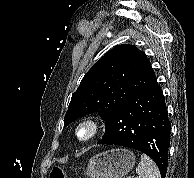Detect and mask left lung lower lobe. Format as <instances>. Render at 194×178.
Segmentation results:
<instances>
[{
  "instance_id": "left-lung-lower-lobe-1",
  "label": "left lung lower lobe",
  "mask_w": 194,
  "mask_h": 178,
  "mask_svg": "<svg viewBox=\"0 0 194 178\" xmlns=\"http://www.w3.org/2000/svg\"><path fill=\"white\" fill-rule=\"evenodd\" d=\"M106 132L97 144L139 150L157 164L165 178L171 123L157 81L119 104L105 120Z\"/></svg>"
}]
</instances>
